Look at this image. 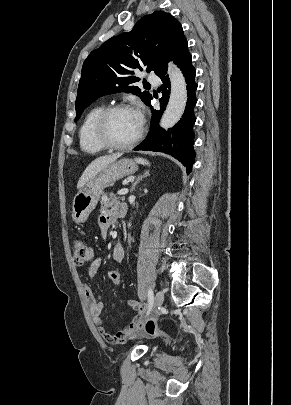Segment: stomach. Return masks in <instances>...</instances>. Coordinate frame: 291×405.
<instances>
[{
    "label": "stomach",
    "instance_id": "1",
    "mask_svg": "<svg viewBox=\"0 0 291 405\" xmlns=\"http://www.w3.org/2000/svg\"><path fill=\"white\" fill-rule=\"evenodd\" d=\"M138 170L137 163L132 159H121L107 165L96 176L91 178L74 197L72 217L76 223H83L96 207L106 186L117 180L134 174Z\"/></svg>",
    "mask_w": 291,
    "mask_h": 405
}]
</instances>
